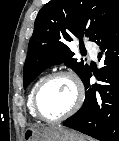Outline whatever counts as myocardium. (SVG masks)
Listing matches in <instances>:
<instances>
[{
  "mask_svg": "<svg viewBox=\"0 0 119 141\" xmlns=\"http://www.w3.org/2000/svg\"><path fill=\"white\" fill-rule=\"evenodd\" d=\"M58 77L68 78L72 82V84L74 86V90H75V99H74L72 106L64 114H62L56 118H46L41 114V112L39 110L38 98H39V95H40L42 88L49 81H51L55 78H58ZM83 100H84V90H83L82 84H81L80 80L78 79V77L71 71L61 70V71L53 72V73L45 76L41 80V82L37 85V87L33 93L32 106H33V111L35 113V116L38 119H40L44 122L52 123V122H59V121L65 120L68 117L75 114L79 110V108L81 107Z\"/></svg>",
  "mask_w": 119,
  "mask_h": 141,
  "instance_id": "1",
  "label": "myocardium"
}]
</instances>
